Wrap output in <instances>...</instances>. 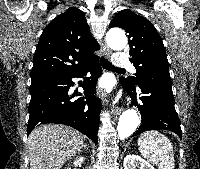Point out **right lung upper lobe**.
<instances>
[{"instance_id":"right-lung-upper-lobe-1","label":"right lung upper lobe","mask_w":200,"mask_h":169,"mask_svg":"<svg viewBox=\"0 0 200 169\" xmlns=\"http://www.w3.org/2000/svg\"><path fill=\"white\" fill-rule=\"evenodd\" d=\"M100 47L90 32L84 12L68 8L43 31L33 57L31 84L72 74L96 58Z\"/></svg>"}]
</instances>
